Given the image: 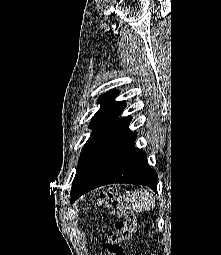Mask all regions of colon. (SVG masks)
Here are the masks:
<instances>
[{"label": "colon", "mask_w": 221, "mask_h": 255, "mask_svg": "<svg viewBox=\"0 0 221 255\" xmlns=\"http://www.w3.org/2000/svg\"><path fill=\"white\" fill-rule=\"evenodd\" d=\"M98 203L105 206L119 221L110 231L104 249L108 255H127L125 243L132 237L136 216L128 204L112 193H101Z\"/></svg>", "instance_id": "obj_1"}]
</instances>
